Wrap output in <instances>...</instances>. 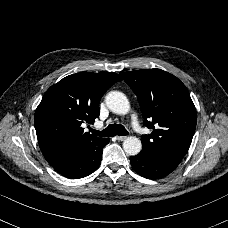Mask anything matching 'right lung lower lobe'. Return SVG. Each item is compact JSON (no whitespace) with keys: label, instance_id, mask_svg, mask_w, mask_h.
<instances>
[{"label":"right lung lower lobe","instance_id":"1","mask_svg":"<svg viewBox=\"0 0 228 228\" xmlns=\"http://www.w3.org/2000/svg\"><path fill=\"white\" fill-rule=\"evenodd\" d=\"M109 141V138H96L72 153L47 161L65 177L83 178L97 169L101 162L103 148Z\"/></svg>","mask_w":228,"mask_h":228}]
</instances>
